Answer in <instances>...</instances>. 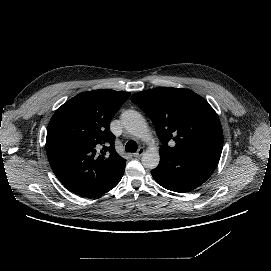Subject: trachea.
I'll list each match as a JSON object with an SVG mask.
<instances>
[{"instance_id":"trachea-1","label":"trachea","mask_w":271,"mask_h":271,"mask_svg":"<svg viewBox=\"0 0 271 271\" xmlns=\"http://www.w3.org/2000/svg\"><path fill=\"white\" fill-rule=\"evenodd\" d=\"M137 143L133 140L128 141L125 145V150L127 152H136L137 151Z\"/></svg>"}]
</instances>
